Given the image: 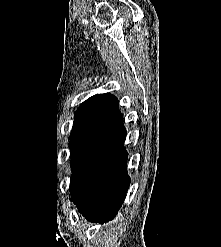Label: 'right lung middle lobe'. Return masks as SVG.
I'll return each mask as SVG.
<instances>
[{
    "label": "right lung middle lobe",
    "instance_id": "obj_1",
    "mask_svg": "<svg viewBox=\"0 0 221 247\" xmlns=\"http://www.w3.org/2000/svg\"><path fill=\"white\" fill-rule=\"evenodd\" d=\"M80 133L79 130L72 129L71 135L69 137L70 142Z\"/></svg>",
    "mask_w": 221,
    "mask_h": 247
}]
</instances>
